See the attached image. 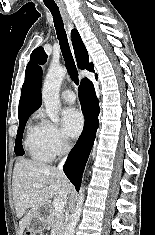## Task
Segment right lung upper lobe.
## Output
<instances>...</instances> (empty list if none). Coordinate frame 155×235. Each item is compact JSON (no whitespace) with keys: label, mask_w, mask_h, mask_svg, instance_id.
<instances>
[{"label":"right lung upper lobe","mask_w":155,"mask_h":235,"mask_svg":"<svg viewBox=\"0 0 155 235\" xmlns=\"http://www.w3.org/2000/svg\"><path fill=\"white\" fill-rule=\"evenodd\" d=\"M71 36L78 67L80 69H87L90 72H94L93 64L89 63L88 52L78 31L73 29ZM41 81V67L34 66L30 71L26 70V79L22 86L21 98L19 101V119L30 116L41 106Z\"/></svg>","instance_id":"1"}]
</instances>
